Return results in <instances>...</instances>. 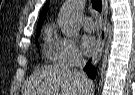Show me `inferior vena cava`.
<instances>
[{"label": "inferior vena cava", "instance_id": "inferior-vena-cava-1", "mask_svg": "<svg viewBox=\"0 0 135 95\" xmlns=\"http://www.w3.org/2000/svg\"><path fill=\"white\" fill-rule=\"evenodd\" d=\"M85 64H86V62H85L84 58L82 57V55L79 53H75L69 66L72 68V70H74L80 76H82L84 79H86V74L83 71Z\"/></svg>", "mask_w": 135, "mask_h": 95}]
</instances>
